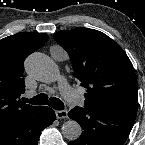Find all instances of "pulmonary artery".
<instances>
[{"instance_id":"pulmonary-artery-1","label":"pulmonary artery","mask_w":145,"mask_h":145,"mask_svg":"<svg viewBox=\"0 0 145 145\" xmlns=\"http://www.w3.org/2000/svg\"><path fill=\"white\" fill-rule=\"evenodd\" d=\"M60 91L70 103L74 105H82L84 103V98L66 82L60 85Z\"/></svg>"}]
</instances>
